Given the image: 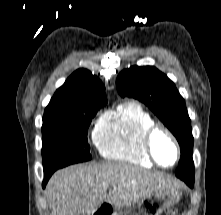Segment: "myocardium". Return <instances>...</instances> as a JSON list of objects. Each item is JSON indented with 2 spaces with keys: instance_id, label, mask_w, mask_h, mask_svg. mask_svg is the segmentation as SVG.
<instances>
[{
  "instance_id": "myocardium-1",
  "label": "myocardium",
  "mask_w": 221,
  "mask_h": 215,
  "mask_svg": "<svg viewBox=\"0 0 221 215\" xmlns=\"http://www.w3.org/2000/svg\"><path fill=\"white\" fill-rule=\"evenodd\" d=\"M158 133H162L165 136L168 137V139L171 141L174 150H175V159L174 161L169 164V165H164L162 164L156 157L154 149H153V141L155 136ZM142 146L143 149L146 153V155L148 156V158L151 160L152 163H154L155 165L161 167V168H171L173 166H175L177 164V162L180 159V147L178 144L177 139L175 138V136L173 135V133L165 126L161 125V124H152L143 134L142 137Z\"/></svg>"
}]
</instances>
